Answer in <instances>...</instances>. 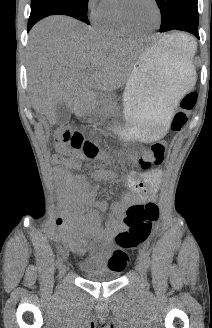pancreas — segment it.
<instances>
[{
	"instance_id": "cf45deb5",
	"label": "pancreas",
	"mask_w": 212,
	"mask_h": 328,
	"mask_svg": "<svg viewBox=\"0 0 212 328\" xmlns=\"http://www.w3.org/2000/svg\"><path fill=\"white\" fill-rule=\"evenodd\" d=\"M104 105H105V107H111V103H109V100H105ZM89 107H90V108H94V105H93V104H90ZM91 113L96 114V113H98V112H97L96 109H93V110L91 111Z\"/></svg>"
}]
</instances>
